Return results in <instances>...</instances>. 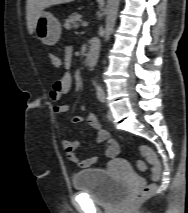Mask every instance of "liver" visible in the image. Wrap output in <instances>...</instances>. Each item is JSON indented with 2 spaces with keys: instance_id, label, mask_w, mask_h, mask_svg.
I'll list each match as a JSON object with an SVG mask.
<instances>
[{
  "instance_id": "liver-1",
  "label": "liver",
  "mask_w": 188,
  "mask_h": 213,
  "mask_svg": "<svg viewBox=\"0 0 188 213\" xmlns=\"http://www.w3.org/2000/svg\"><path fill=\"white\" fill-rule=\"evenodd\" d=\"M67 1L68 0H28L26 5V18L29 34L31 35L35 31L37 18L45 8Z\"/></svg>"
}]
</instances>
